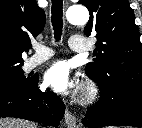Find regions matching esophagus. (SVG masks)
Returning <instances> with one entry per match:
<instances>
[{
	"mask_svg": "<svg viewBox=\"0 0 142 128\" xmlns=\"http://www.w3.org/2000/svg\"><path fill=\"white\" fill-rule=\"evenodd\" d=\"M64 120L68 128H80L76 117L68 110L65 112Z\"/></svg>",
	"mask_w": 142,
	"mask_h": 128,
	"instance_id": "obj_1",
	"label": "esophagus"
}]
</instances>
